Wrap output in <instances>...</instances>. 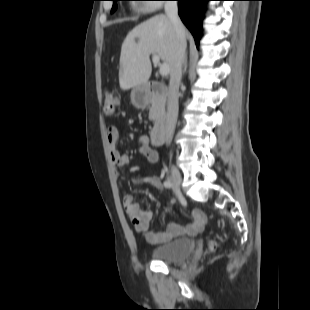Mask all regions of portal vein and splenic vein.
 Wrapping results in <instances>:
<instances>
[{
	"label": "portal vein and splenic vein",
	"instance_id": "1",
	"mask_svg": "<svg viewBox=\"0 0 310 310\" xmlns=\"http://www.w3.org/2000/svg\"><path fill=\"white\" fill-rule=\"evenodd\" d=\"M152 60H153L154 64L160 63V57L156 54L153 55ZM169 71H170V69H169V66L167 64L164 63V64L160 65L159 73L161 76L168 75Z\"/></svg>",
	"mask_w": 310,
	"mask_h": 310
}]
</instances>
